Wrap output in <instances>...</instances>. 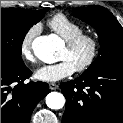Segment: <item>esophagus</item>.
<instances>
[{"mask_svg": "<svg viewBox=\"0 0 123 123\" xmlns=\"http://www.w3.org/2000/svg\"><path fill=\"white\" fill-rule=\"evenodd\" d=\"M49 88H50L51 90H56V89L59 88V86H58L56 83H50V84H49Z\"/></svg>", "mask_w": 123, "mask_h": 123, "instance_id": "obj_1", "label": "esophagus"}]
</instances>
